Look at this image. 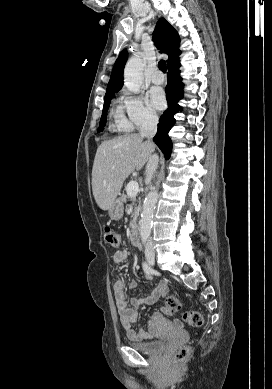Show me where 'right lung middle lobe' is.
Masks as SVG:
<instances>
[{"label":"right lung middle lobe","mask_w":272,"mask_h":389,"mask_svg":"<svg viewBox=\"0 0 272 389\" xmlns=\"http://www.w3.org/2000/svg\"><path fill=\"white\" fill-rule=\"evenodd\" d=\"M113 96V94H110L108 96H105L104 99V106H103V112L99 123L98 132L102 131L105 124H106V116H107V110L110 106V98Z\"/></svg>","instance_id":"dd1d6c3e"}]
</instances>
